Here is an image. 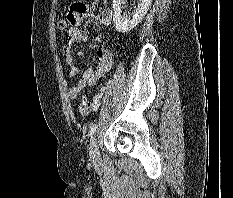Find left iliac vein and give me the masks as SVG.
I'll return each mask as SVG.
<instances>
[{
	"mask_svg": "<svg viewBox=\"0 0 233 198\" xmlns=\"http://www.w3.org/2000/svg\"><path fill=\"white\" fill-rule=\"evenodd\" d=\"M90 158L93 162H98L100 159V154L98 151V145L97 141L95 138L91 139V144H90Z\"/></svg>",
	"mask_w": 233,
	"mask_h": 198,
	"instance_id": "1",
	"label": "left iliac vein"
}]
</instances>
